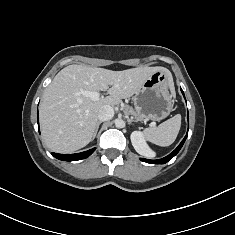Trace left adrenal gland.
Wrapping results in <instances>:
<instances>
[{
  "label": "left adrenal gland",
  "instance_id": "left-adrenal-gland-1",
  "mask_svg": "<svg viewBox=\"0 0 235 235\" xmlns=\"http://www.w3.org/2000/svg\"><path fill=\"white\" fill-rule=\"evenodd\" d=\"M127 121H128L129 124H131L132 122H135L134 120H132L130 118H128Z\"/></svg>",
  "mask_w": 235,
  "mask_h": 235
}]
</instances>
